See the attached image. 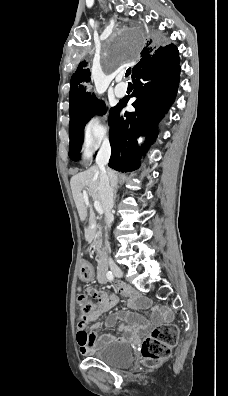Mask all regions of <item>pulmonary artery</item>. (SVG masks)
<instances>
[{
	"label": "pulmonary artery",
	"mask_w": 228,
	"mask_h": 396,
	"mask_svg": "<svg viewBox=\"0 0 228 396\" xmlns=\"http://www.w3.org/2000/svg\"><path fill=\"white\" fill-rule=\"evenodd\" d=\"M126 93V87L124 85H119V87L116 88L115 90V95L117 97H123Z\"/></svg>",
	"instance_id": "1"
}]
</instances>
